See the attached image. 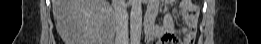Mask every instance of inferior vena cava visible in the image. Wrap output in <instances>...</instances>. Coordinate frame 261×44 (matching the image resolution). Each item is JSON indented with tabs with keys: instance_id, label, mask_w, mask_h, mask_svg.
Masks as SVG:
<instances>
[{
	"instance_id": "602c4592",
	"label": "inferior vena cava",
	"mask_w": 261,
	"mask_h": 44,
	"mask_svg": "<svg viewBox=\"0 0 261 44\" xmlns=\"http://www.w3.org/2000/svg\"><path fill=\"white\" fill-rule=\"evenodd\" d=\"M120 4L114 8L113 20L116 24V31L118 37L127 39L128 37V23L127 12L124 7V0H119Z\"/></svg>"
}]
</instances>
